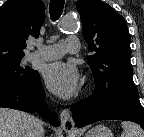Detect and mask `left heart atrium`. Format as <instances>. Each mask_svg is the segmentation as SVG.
<instances>
[{"instance_id": "left-heart-atrium-1", "label": "left heart atrium", "mask_w": 144, "mask_h": 137, "mask_svg": "<svg viewBox=\"0 0 144 137\" xmlns=\"http://www.w3.org/2000/svg\"><path fill=\"white\" fill-rule=\"evenodd\" d=\"M79 72L73 63L55 62L46 67L45 81L48 89L57 96L72 97L79 85Z\"/></svg>"}]
</instances>
